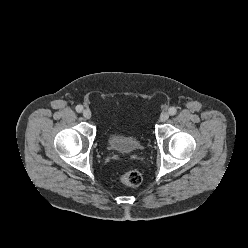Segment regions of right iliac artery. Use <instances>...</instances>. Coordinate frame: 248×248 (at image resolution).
Segmentation results:
<instances>
[{
	"instance_id": "82829eb1",
	"label": "right iliac artery",
	"mask_w": 248,
	"mask_h": 248,
	"mask_svg": "<svg viewBox=\"0 0 248 248\" xmlns=\"http://www.w3.org/2000/svg\"><path fill=\"white\" fill-rule=\"evenodd\" d=\"M76 111L81 113L83 111V106L82 105H77L76 106Z\"/></svg>"
}]
</instances>
